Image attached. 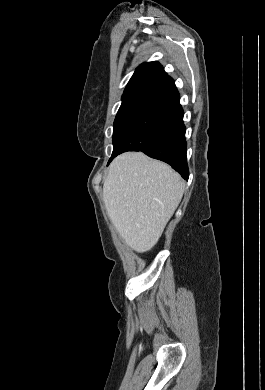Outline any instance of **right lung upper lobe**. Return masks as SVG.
Here are the masks:
<instances>
[{
    "mask_svg": "<svg viewBox=\"0 0 265 390\" xmlns=\"http://www.w3.org/2000/svg\"><path fill=\"white\" fill-rule=\"evenodd\" d=\"M174 88L173 79L158 62H145L135 70L124 90L122 101L134 98L156 100Z\"/></svg>",
    "mask_w": 265,
    "mask_h": 390,
    "instance_id": "1",
    "label": "right lung upper lobe"
}]
</instances>
